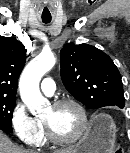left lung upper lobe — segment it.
I'll list each match as a JSON object with an SVG mask.
<instances>
[{"label": "left lung upper lobe", "mask_w": 130, "mask_h": 153, "mask_svg": "<svg viewBox=\"0 0 130 153\" xmlns=\"http://www.w3.org/2000/svg\"><path fill=\"white\" fill-rule=\"evenodd\" d=\"M60 58L62 82L78 101L90 109L124 107L121 75L107 54L88 44L68 43Z\"/></svg>", "instance_id": "left-lung-upper-lobe-1"}]
</instances>
